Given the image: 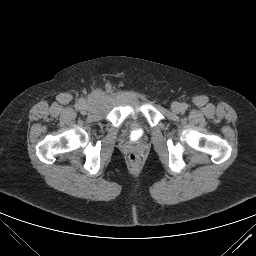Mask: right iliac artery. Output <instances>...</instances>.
Wrapping results in <instances>:
<instances>
[{
	"label": "right iliac artery",
	"instance_id": "right-iliac-artery-1",
	"mask_svg": "<svg viewBox=\"0 0 256 256\" xmlns=\"http://www.w3.org/2000/svg\"><path fill=\"white\" fill-rule=\"evenodd\" d=\"M80 102L82 103V102H83V100H81ZM81 103L76 104V108H77V109H80V108H81Z\"/></svg>",
	"mask_w": 256,
	"mask_h": 256
}]
</instances>
